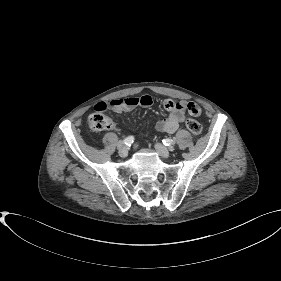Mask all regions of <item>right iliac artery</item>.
<instances>
[{
	"label": "right iliac artery",
	"instance_id": "1",
	"mask_svg": "<svg viewBox=\"0 0 281 281\" xmlns=\"http://www.w3.org/2000/svg\"><path fill=\"white\" fill-rule=\"evenodd\" d=\"M133 142H134V137L128 136L121 142V144L130 146Z\"/></svg>",
	"mask_w": 281,
	"mask_h": 281
}]
</instances>
